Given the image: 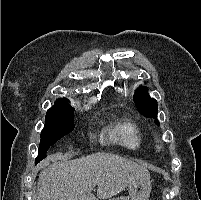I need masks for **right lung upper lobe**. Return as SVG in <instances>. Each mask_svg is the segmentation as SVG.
Listing matches in <instances>:
<instances>
[{
  "label": "right lung upper lobe",
  "mask_w": 201,
  "mask_h": 200,
  "mask_svg": "<svg viewBox=\"0 0 201 200\" xmlns=\"http://www.w3.org/2000/svg\"><path fill=\"white\" fill-rule=\"evenodd\" d=\"M66 101L63 100L62 98H60L58 101H56V103H65Z\"/></svg>",
  "instance_id": "cb5924a9"
}]
</instances>
